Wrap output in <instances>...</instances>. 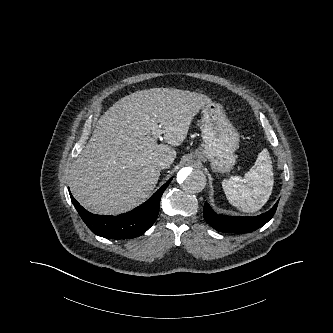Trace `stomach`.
<instances>
[{
    "label": "stomach",
    "instance_id": "1",
    "mask_svg": "<svg viewBox=\"0 0 333 333\" xmlns=\"http://www.w3.org/2000/svg\"><path fill=\"white\" fill-rule=\"evenodd\" d=\"M202 145L195 151L199 160H208L212 170L226 172L236 162L239 133L227 118L223 107L210 103L202 108Z\"/></svg>",
    "mask_w": 333,
    "mask_h": 333
}]
</instances>
